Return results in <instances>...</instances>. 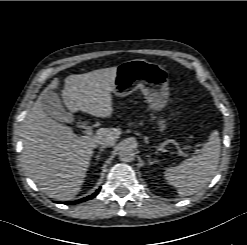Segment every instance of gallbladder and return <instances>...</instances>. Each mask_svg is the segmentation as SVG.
Listing matches in <instances>:
<instances>
[{"label":"gallbladder","mask_w":247,"mask_h":245,"mask_svg":"<svg viewBox=\"0 0 247 245\" xmlns=\"http://www.w3.org/2000/svg\"><path fill=\"white\" fill-rule=\"evenodd\" d=\"M42 110L52 119L61 122L71 120V114L66 111L59 95L53 90L43 92L41 97Z\"/></svg>","instance_id":"gallbladder-1"}]
</instances>
